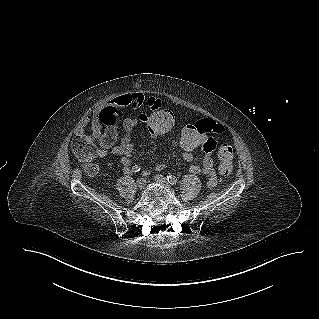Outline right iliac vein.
Masks as SVG:
<instances>
[{
	"label": "right iliac vein",
	"instance_id": "obj_1",
	"mask_svg": "<svg viewBox=\"0 0 319 319\" xmlns=\"http://www.w3.org/2000/svg\"><path fill=\"white\" fill-rule=\"evenodd\" d=\"M145 185H146V180L144 178H139L136 181V187L139 190H143L145 188Z\"/></svg>",
	"mask_w": 319,
	"mask_h": 319
}]
</instances>
